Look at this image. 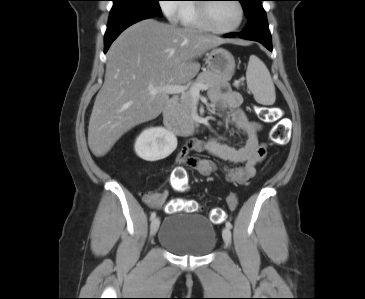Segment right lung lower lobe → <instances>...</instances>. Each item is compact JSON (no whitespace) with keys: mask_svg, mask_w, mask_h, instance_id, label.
Masks as SVG:
<instances>
[{"mask_svg":"<svg viewBox=\"0 0 365 299\" xmlns=\"http://www.w3.org/2000/svg\"><path fill=\"white\" fill-rule=\"evenodd\" d=\"M160 12H131L118 17L109 18L104 36V53L107 52L112 42L130 25L147 18L160 16Z\"/></svg>","mask_w":365,"mask_h":299,"instance_id":"obj_1","label":"right lung lower lobe"}]
</instances>
